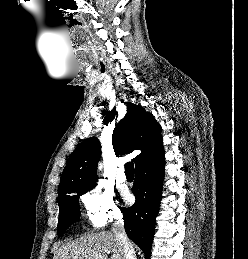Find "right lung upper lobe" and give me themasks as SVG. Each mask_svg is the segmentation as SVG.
Listing matches in <instances>:
<instances>
[{
	"label": "right lung upper lobe",
	"instance_id": "obj_1",
	"mask_svg": "<svg viewBox=\"0 0 248 259\" xmlns=\"http://www.w3.org/2000/svg\"><path fill=\"white\" fill-rule=\"evenodd\" d=\"M126 116L116 125L112 144L114 152L130 153L141 150L133 158L135 166L151 157L163 153L161 126L154 116L141 106L128 103ZM100 143L96 137L84 140L70 155L61 176L59 197L70 191L95 185L96 168L100 159Z\"/></svg>",
	"mask_w": 248,
	"mask_h": 259
}]
</instances>
